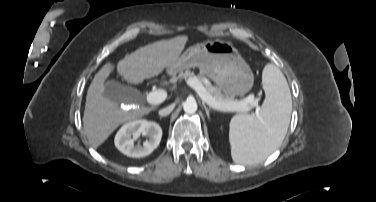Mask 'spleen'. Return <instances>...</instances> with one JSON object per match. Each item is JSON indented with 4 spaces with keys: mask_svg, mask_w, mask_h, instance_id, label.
<instances>
[{
    "mask_svg": "<svg viewBox=\"0 0 376 202\" xmlns=\"http://www.w3.org/2000/svg\"><path fill=\"white\" fill-rule=\"evenodd\" d=\"M262 83L266 98L259 116L235 115L230 121L229 141L235 163L254 164L265 160L282 143L292 112L287 80L274 64L265 65Z\"/></svg>",
    "mask_w": 376,
    "mask_h": 202,
    "instance_id": "3e777b00",
    "label": "spleen"
}]
</instances>
